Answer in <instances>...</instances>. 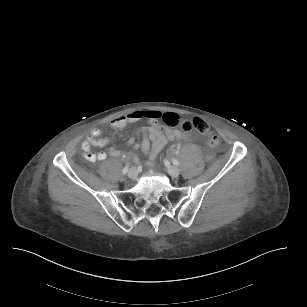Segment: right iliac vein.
I'll return each mask as SVG.
<instances>
[{
    "mask_svg": "<svg viewBox=\"0 0 307 307\" xmlns=\"http://www.w3.org/2000/svg\"><path fill=\"white\" fill-rule=\"evenodd\" d=\"M138 176V171L135 167H132L130 168V170L128 171V177L131 179V180H134L136 179Z\"/></svg>",
    "mask_w": 307,
    "mask_h": 307,
    "instance_id": "1",
    "label": "right iliac vein"
}]
</instances>
